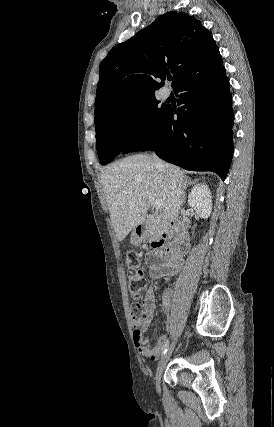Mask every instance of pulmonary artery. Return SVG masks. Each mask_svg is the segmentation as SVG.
I'll return each instance as SVG.
<instances>
[{"instance_id":"pulmonary-artery-1","label":"pulmonary artery","mask_w":274,"mask_h":427,"mask_svg":"<svg viewBox=\"0 0 274 427\" xmlns=\"http://www.w3.org/2000/svg\"><path fill=\"white\" fill-rule=\"evenodd\" d=\"M160 94H161V99L162 100H166L170 96V89L168 87H163L161 89V93Z\"/></svg>"}]
</instances>
